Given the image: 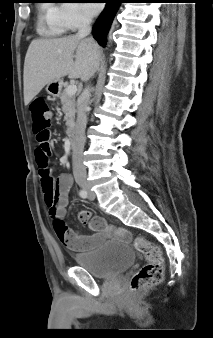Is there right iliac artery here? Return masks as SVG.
Returning a JSON list of instances; mask_svg holds the SVG:
<instances>
[{
    "label": "right iliac artery",
    "instance_id": "obj_1",
    "mask_svg": "<svg viewBox=\"0 0 213 338\" xmlns=\"http://www.w3.org/2000/svg\"><path fill=\"white\" fill-rule=\"evenodd\" d=\"M79 195L81 198H87V191L81 189L80 192H79Z\"/></svg>",
    "mask_w": 213,
    "mask_h": 338
}]
</instances>
